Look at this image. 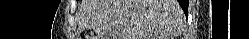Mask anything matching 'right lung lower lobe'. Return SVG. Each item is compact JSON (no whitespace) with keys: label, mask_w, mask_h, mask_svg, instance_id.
<instances>
[{"label":"right lung lower lobe","mask_w":249,"mask_h":39,"mask_svg":"<svg viewBox=\"0 0 249 39\" xmlns=\"http://www.w3.org/2000/svg\"><path fill=\"white\" fill-rule=\"evenodd\" d=\"M179 4L183 11L185 12V15H188V6H189V0H179Z\"/></svg>","instance_id":"obj_1"}]
</instances>
